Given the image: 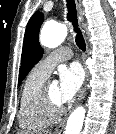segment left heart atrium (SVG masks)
I'll return each instance as SVG.
<instances>
[{"instance_id": "39dd6f15", "label": "left heart atrium", "mask_w": 116, "mask_h": 134, "mask_svg": "<svg viewBox=\"0 0 116 134\" xmlns=\"http://www.w3.org/2000/svg\"><path fill=\"white\" fill-rule=\"evenodd\" d=\"M84 81V72L79 64L73 63L59 70L60 103L71 101L80 90Z\"/></svg>"}]
</instances>
